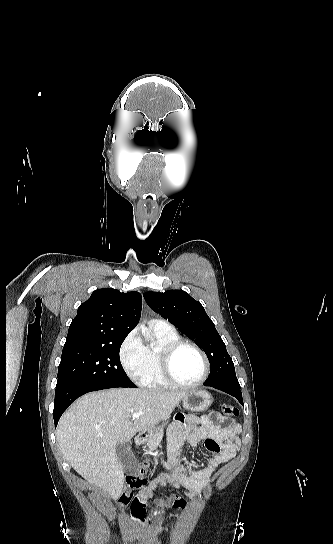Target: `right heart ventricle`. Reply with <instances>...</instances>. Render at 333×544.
Returning a JSON list of instances; mask_svg holds the SVG:
<instances>
[{"instance_id": "1", "label": "right heart ventricle", "mask_w": 333, "mask_h": 544, "mask_svg": "<svg viewBox=\"0 0 333 544\" xmlns=\"http://www.w3.org/2000/svg\"><path fill=\"white\" fill-rule=\"evenodd\" d=\"M152 332L157 344L145 345L144 369L139 383L146 388H167L170 384L163 378L160 371V351L164 346L180 340V337L174 329L164 330L153 326Z\"/></svg>"}]
</instances>
